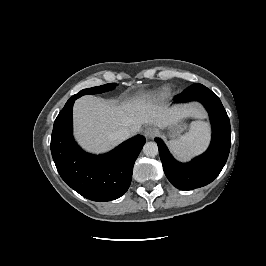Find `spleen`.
<instances>
[{"label": "spleen", "mask_w": 266, "mask_h": 266, "mask_svg": "<svg viewBox=\"0 0 266 266\" xmlns=\"http://www.w3.org/2000/svg\"><path fill=\"white\" fill-rule=\"evenodd\" d=\"M210 131L206 122L196 121L190 125V130L178 139L169 141L168 146L175 156L188 160L200 154L208 145Z\"/></svg>", "instance_id": "obj_1"}]
</instances>
